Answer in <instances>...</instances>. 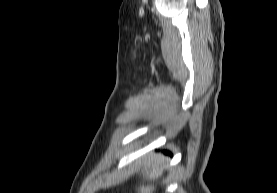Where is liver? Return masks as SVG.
<instances>
[{"instance_id": "liver-1", "label": "liver", "mask_w": 277, "mask_h": 193, "mask_svg": "<svg viewBox=\"0 0 277 193\" xmlns=\"http://www.w3.org/2000/svg\"><path fill=\"white\" fill-rule=\"evenodd\" d=\"M164 168L165 165H162V160L159 159L154 163L152 160H149V162H145L141 174L144 179H156L162 175ZM154 190L155 188L152 185H141L138 188V193H153Z\"/></svg>"}]
</instances>
